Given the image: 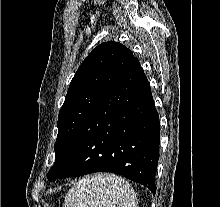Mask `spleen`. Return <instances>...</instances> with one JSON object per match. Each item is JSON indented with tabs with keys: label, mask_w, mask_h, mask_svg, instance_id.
I'll return each instance as SVG.
<instances>
[{
	"label": "spleen",
	"mask_w": 220,
	"mask_h": 207,
	"mask_svg": "<svg viewBox=\"0 0 220 207\" xmlns=\"http://www.w3.org/2000/svg\"><path fill=\"white\" fill-rule=\"evenodd\" d=\"M135 191L123 178L101 173L79 180L67 193L65 207H138Z\"/></svg>",
	"instance_id": "obj_1"
}]
</instances>
